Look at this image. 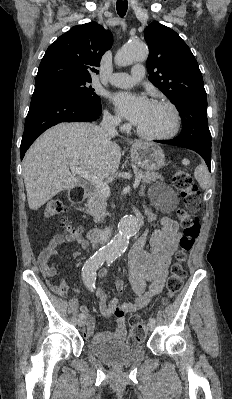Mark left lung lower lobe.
<instances>
[{
	"instance_id": "left-lung-lower-lobe-1",
	"label": "left lung lower lobe",
	"mask_w": 232,
	"mask_h": 399,
	"mask_svg": "<svg viewBox=\"0 0 232 399\" xmlns=\"http://www.w3.org/2000/svg\"><path fill=\"white\" fill-rule=\"evenodd\" d=\"M155 142L191 149V150L197 152L198 154H200L202 156V158L205 160L209 170L211 169V149L209 150V149L203 148L199 145L181 142L176 139L162 140V141H155Z\"/></svg>"
}]
</instances>
